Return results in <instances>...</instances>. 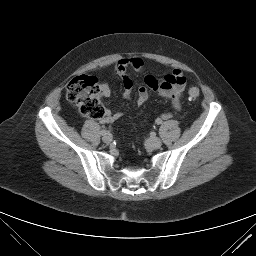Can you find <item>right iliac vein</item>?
Returning <instances> with one entry per match:
<instances>
[{"instance_id": "1", "label": "right iliac vein", "mask_w": 256, "mask_h": 256, "mask_svg": "<svg viewBox=\"0 0 256 256\" xmlns=\"http://www.w3.org/2000/svg\"><path fill=\"white\" fill-rule=\"evenodd\" d=\"M112 135L110 133H106L103 137L102 140L104 143L109 144L112 141Z\"/></svg>"}]
</instances>
